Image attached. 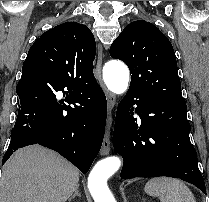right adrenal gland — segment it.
Wrapping results in <instances>:
<instances>
[{"instance_id":"right-adrenal-gland-1","label":"right adrenal gland","mask_w":209,"mask_h":202,"mask_svg":"<svg viewBox=\"0 0 209 202\" xmlns=\"http://www.w3.org/2000/svg\"><path fill=\"white\" fill-rule=\"evenodd\" d=\"M76 196L81 197V195L79 193V186L76 188V190L73 193V195L69 198V202H71V200L74 199Z\"/></svg>"}]
</instances>
